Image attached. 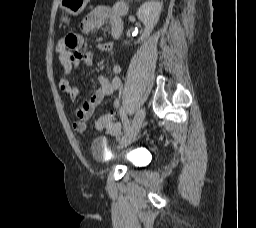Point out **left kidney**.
<instances>
[{"instance_id": "left-kidney-1", "label": "left kidney", "mask_w": 256, "mask_h": 228, "mask_svg": "<svg viewBox=\"0 0 256 228\" xmlns=\"http://www.w3.org/2000/svg\"><path fill=\"white\" fill-rule=\"evenodd\" d=\"M162 5L163 4L159 1L151 0L143 3L138 9L137 17L145 26L144 33L139 38L138 43L147 38L154 29L159 20ZM125 44H127L126 41Z\"/></svg>"}]
</instances>
